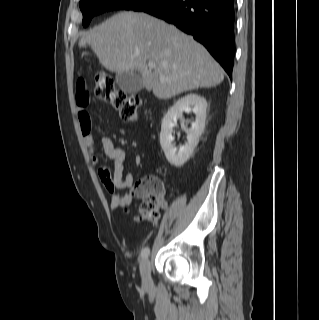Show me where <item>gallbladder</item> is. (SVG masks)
Returning a JSON list of instances; mask_svg holds the SVG:
<instances>
[{"mask_svg":"<svg viewBox=\"0 0 319 320\" xmlns=\"http://www.w3.org/2000/svg\"><path fill=\"white\" fill-rule=\"evenodd\" d=\"M116 83L126 93H137L142 90L143 84L137 72H123L116 75Z\"/></svg>","mask_w":319,"mask_h":320,"instance_id":"gallbladder-1","label":"gallbladder"}]
</instances>
